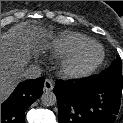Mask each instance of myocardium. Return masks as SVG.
I'll list each match as a JSON object with an SVG mask.
<instances>
[{"label": "myocardium", "mask_w": 123, "mask_h": 123, "mask_svg": "<svg viewBox=\"0 0 123 123\" xmlns=\"http://www.w3.org/2000/svg\"><path fill=\"white\" fill-rule=\"evenodd\" d=\"M97 47L99 54L94 59L85 62L84 57L91 47ZM104 49L95 41H87L79 48L65 56L60 63V71L69 79H80L91 75L104 60Z\"/></svg>", "instance_id": "myocardium-1"}]
</instances>
